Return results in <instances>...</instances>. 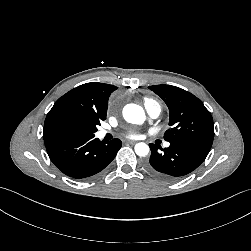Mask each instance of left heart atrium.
I'll return each mask as SVG.
<instances>
[{
	"label": "left heart atrium",
	"instance_id": "39dd6f15",
	"mask_svg": "<svg viewBox=\"0 0 251 251\" xmlns=\"http://www.w3.org/2000/svg\"><path fill=\"white\" fill-rule=\"evenodd\" d=\"M126 136L128 138H137L139 136V132L136 129H132L127 132Z\"/></svg>",
	"mask_w": 251,
	"mask_h": 251
}]
</instances>
